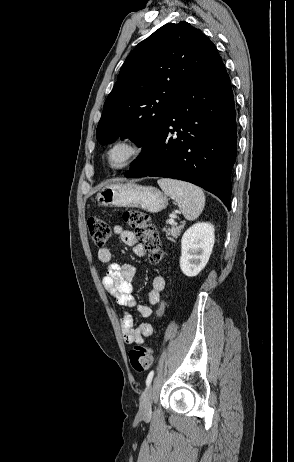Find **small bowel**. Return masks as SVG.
<instances>
[{
    "instance_id": "1",
    "label": "small bowel",
    "mask_w": 294,
    "mask_h": 462,
    "mask_svg": "<svg viewBox=\"0 0 294 462\" xmlns=\"http://www.w3.org/2000/svg\"><path fill=\"white\" fill-rule=\"evenodd\" d=\"M115 233L125 245L132 247L136 256L142 257L145 255L146 251L137 244L133 232L116 226ZM97 256L99 261L106 265V273L102 280L105 290L115 298L120 306L135 308L142 317H149L152 313L151 308L147 305L138 304L134 295L132 282L136 275V268L131 264L114 262L112 252L108 248L99 249ZM165 286L164 277L156 276L153 278L152 288L147 293V301L150 305H156L160 301L161 293ZM121 331L126 343L142 344L145 338L153 334L154 328L150 323L135 326L132 314L126 311L121 319Z\"/></svg>"
}]
</instances>
